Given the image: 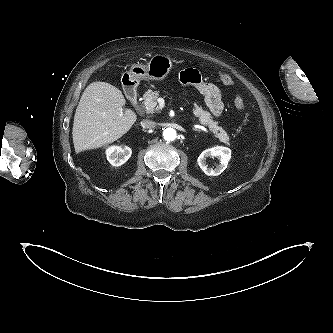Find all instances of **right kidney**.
Segmentation results:
<instances>
[{
	"label": "right kidney",
	"instance_id": "obj_1",
	"mask_svg": "<svg viewBox=\"0 0 333 333\" xmlns=\"http://www.w3.org/2000/svg\"><path fill=\"white\" fill-rule=\"evenodd\" d=\"M107 160L112 166H121L124 164L131 156L132 150L128 146H110L105 151Z\"/></svg>",
	"mask_w": 333,
	"mask_h": 333
}]
</instances>
